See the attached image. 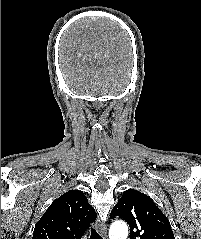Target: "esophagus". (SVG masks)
Returning a JSON list of instances; mask_svg holds the SVG:
<instances>
[{"mask_svg": "<svg viewBox=\"0 0 201 239\" xmlns=\"http://www.w3.org/2000/svg\"><path fill=\"white\" fill-rule=\"evenodd\" d=\"M98 230L102 236V239H107V226L104 223H98Z\"/></svg>", "mask_w": 201, "mask_h": 239, "instance_id": "obj_1", "label": "esophagus"}]
</instances>
